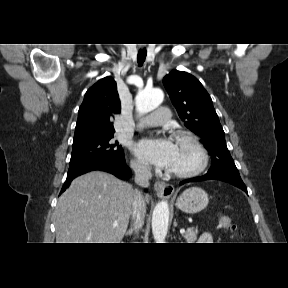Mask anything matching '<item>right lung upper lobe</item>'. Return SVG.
I'll list each match as a JSON object with an SVG mask.
<instances>
[{"label":"right lung upper lobe","instance_id":"cb5924a9","mask_svg":"<svg viewBox=\"0 0 288 288\" xmlns=\"http://www.w3.org/2000/svg\"><path fill=\"white\" fill-rule=\"evenodd\" d=\"M121 110L116 82L105 77L90 87L79 108L74 143L114 134L112 119Z\"/></svg>","mask_w":288,"mask_h":288}]
</instances>
